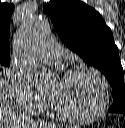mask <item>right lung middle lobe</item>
Segmentation results:
<instances>
[{
  "label": "right lung middle lobe",
  "mask_w": 125,
  "mask_h": 128,
  "mask_svg": "<svg viewBox=\"0 0 125 128\" xmlns=\"http://www.w3.org/2000/svg\"><path fill=\"white\" fill-rule=\"evenodd\" d=\"M0 66L9 67L10 66V59H0Z\"/></svg>",
  "instance_id": "1"
}]
</instances>
